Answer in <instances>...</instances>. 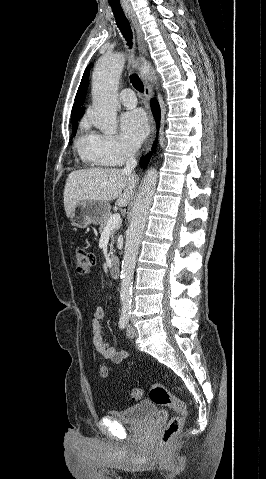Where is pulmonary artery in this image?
Wrapping results in <instances>:
<instances>
[{
  "label": "pulmonary artery",
  "mask_w": 266,
  "mask_h": 479,
  "mask_svg": "<svg viewBox=\"0 0 266 479\" xmlns=\"http://www.w3.org/2000/svg\"><path fill=\"white\" fill-rule=\"evenodd\" d=\"M120 101L128 108L135 107L137 104L135 92L130 88L124 89L120 94Z\"/></svg>",
  "instance_id": "1"
}]
</instances>
